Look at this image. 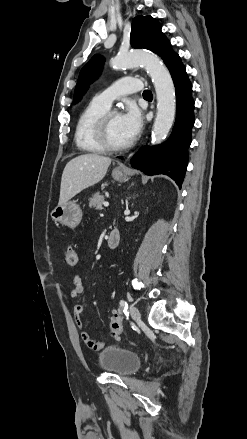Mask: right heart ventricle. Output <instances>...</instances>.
Here are the masks:
<instances>
[{"instance_id": "obj_1", "label": "right heart ventricle", "mask_w": 247, "mask_h": 439, "mask_svg": "<svg viewBox=\"0 0 247 439\" xmlns=\"http://www.w3.org/2000/svg\"><path fill=\"white\" fill-rule=\"evenodd\" d=\"M110 107L95 98L81 112L74 133L77 148L83 152L103 153L105 150L96 138V127L99 119Z\"/></svg>"}]
</instances>
